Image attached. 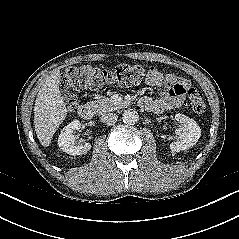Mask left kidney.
<instances>
[{
  "label": "left kidney",
  "mask_w": 239,
  "mask_h": 239,
  "mask_svg": "<svg viewBox=\"0 0 239 239\" xmlns=\"http://www.w3.org/2000/svg\"><path fill=\"white\" fill-rule=\"evenodd\" d=\"M175 120L181 124L177 130L180 140L170 144L171 151L180 152L193 147L201 136L200 127L194 119L181 113L175 115Z\"/></svg>",
  "instance_id": "5707ae66"
}]
</instances>
